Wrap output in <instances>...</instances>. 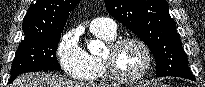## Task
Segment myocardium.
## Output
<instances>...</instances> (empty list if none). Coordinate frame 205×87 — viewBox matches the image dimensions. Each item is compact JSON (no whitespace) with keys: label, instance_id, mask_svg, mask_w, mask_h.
Returning a JSON list of instances; mask_svg holds the SVG:
<instances>
[{"label":"myocardium","instance_id":"myocardium-1","mask_svg":"<svg viewBox=\"0 0 205 87\" xmlns=\"http://www.w3.org/2000/svg\"><path fill=\"white\" fill-rule=\"evenodd\" d=\"M127 43H135L144 51L146 62L143 69L135 75H125L119 72L115 65V56L118 50ZM108 78L123 83H132L144 78L150 71L153 62L152 52L149 46L140 38L134 36L114 39L107 44L105 53L100 57Z\"/></svg>","mask_w":205,"mask_h":87}]
</instances>
